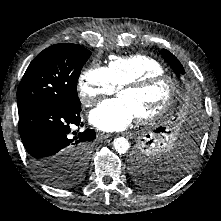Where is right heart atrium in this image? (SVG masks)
<instances>
[{
	"label": "right heart atrium",
	"mask_w": 221,
	"mask_h": 221,
	"mask_svg": "<svg viewBox=\"0 0 221 221\" xmlns=\"http://www.w3.org/2000/svg\"><path fill=\"white\" fill-rule=\"evenodd\" d=\"M106 67L93 65L81 73L78 81L79 97L83 105L92 106L101 97L115 93Z\"/></svg>",
	"instance_id": "d8ad5b80"
}]
</instances>
